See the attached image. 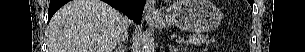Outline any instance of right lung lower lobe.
<instances>
[{
	"label": "right lung lower lobe",
	"instance_id": "1",
	"mask_svg": "<svg viewBox=\"0 0 305 52\" xmlns=\"http://www.w3.org/2000/svg\"><path fill=\"white\" fill-rule=\"evenodd\" d=\"M69 0H51L48 10V22L53 14ZM113 8L118 9L128 15L137 24L141 22L145 0H102Z\"/></svg>",
	"mask_w": 305,
	"mask_h": 52
}]
</instances>
